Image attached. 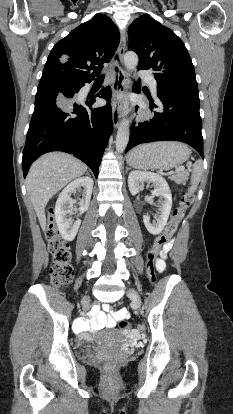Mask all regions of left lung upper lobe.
I'll return each instance as SVG.
<instances>
[{
  "label": "left lung upper lobe",
  "mask_w": 233,
  "mask_h": 414,
  "mask_svg": "<svg viewBox=\"0 0 233 414\" xmlns=\"http://www.w3.org/2000/svg\"><path fill=\"white\" fill-rule=\"evenodd\" d=\"M128 47L139 57L138 69H152L158 89L197 88L194 66L182 40L148 15L130 25Z\"/></svg>",
  "instance_id": "obj_1"
}]
</instances>
